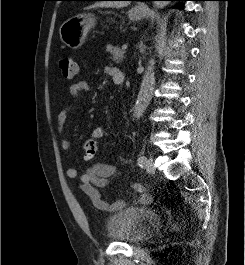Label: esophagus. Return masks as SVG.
Here are the masks:
<instances>
[{"mask_svg":"<svg viewBox=\"0 0 245 265\" xmlns=\"http://www.w3.org/2000/svg\"><path fill=\"white\" fill-rule=\"evenodd\" d=\"M138 8H139L140 10H142V9H143V7H142V6H138Z\"/></svg>","mask_w":245,"mask_h":265,"instance_id":"esophagus-1","label":"esophagus"}]
</instances>
